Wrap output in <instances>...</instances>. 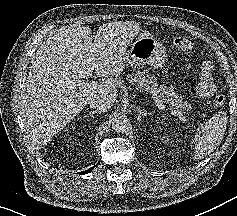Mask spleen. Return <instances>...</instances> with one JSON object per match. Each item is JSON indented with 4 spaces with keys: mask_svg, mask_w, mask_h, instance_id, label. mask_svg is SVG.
Masks as SVG:
<instances>
[{
    "mask_svg": "<svg viewBox=\"0 0 237 216\" xmlns=\"http://www.w3.org/2000/svg\"><path fill=\"white\" fill-rule=\"evenodd\" d=\"M216 140L217 133L214 130H210L208 125H204L195 132L192 138V144L196 152H201L214 145Z\"/></svg>",
    "mask_w": 237,
    "mask_h": 216,
    "instance_id": "1",
    "label": "spleen"
}]
</instances>
